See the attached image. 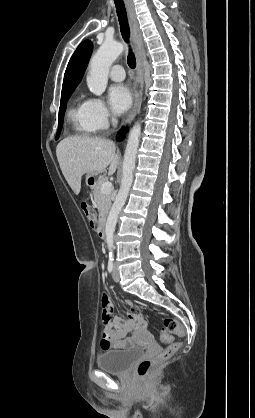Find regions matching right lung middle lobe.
I'll return each instance as SVG.
<instances>
[{"label":"right lung middle lobe","instance_id":"right-lung-middle-lobe-1","mask_svg":"<svg viewBox=\"0 0 255 418\" xmlns=\"http://www.w3.org/2000/svg\"><path fill=\"white\" fill-rule=\"evenodd\" d=\"M73 91L74 90H68V91L62 92L60 109H59V117H58L59 129H58V132H57V135H56V139H58L60 131H61L62 126H63V118H64V113H65L67 101H68V99H69V97H70V95L72 94Z\"/></svg>","mask_w":255,"mask_h":418}]
</instances>
